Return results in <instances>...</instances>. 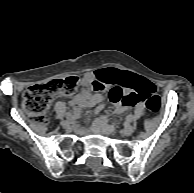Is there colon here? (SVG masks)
I'll use <instances>...</instances> for the list:
<instances>
[{
  "label": "colon",
  "instance_id": "colon-1",
  "mask_svg": "<svg viewBox=\"0 0 194 193\" xmlns=\"http://www.w3.org/2000/svg\"><path fill=\"white\" fill-rule=\"evenodd\" d=\"M137 84V77L131 74H123L117 79H106L98 90L107 89L109 99L115 103H127L132 95H125L124 88L134 87ZM78 86V78L69 76L55 79L43 84H36L27 89L22 98V108L29 115L33 122L39 125L47 123L46 114L54 96L73 93ZM145 105L148 111L155 113L161 107V100L158 95L152 93L151 89L144 96Z\"/></svg>",
  "mask_w": 194,
  "mask_h": 193
}]
</instances>
